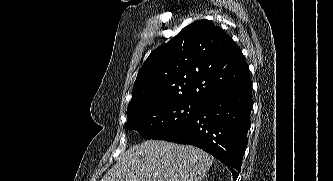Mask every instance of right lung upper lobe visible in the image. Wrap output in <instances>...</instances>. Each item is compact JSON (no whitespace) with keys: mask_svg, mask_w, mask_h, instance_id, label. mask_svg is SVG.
Segmentation results:
<instances>
[{"mask_svg":"<svg viewBox=\"0 0 333 181\" xmlns=\"http://www.w3.org/2000/svg\"><path fill=\"white\" fill-rule=\"evenodd\" d=\"M248 81V64L232 38L212 22L198 20L149 55L137 75L127 112L164 100L201 102Z\"/></svg>","mask_w":333,"mask_h":181,"instance_id":"cb5924a9","label":"right lung upper lobe"}]
</instances>
